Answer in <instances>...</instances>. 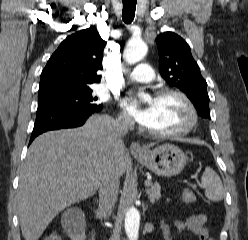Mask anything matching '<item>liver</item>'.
I'll list each match as a JSON object with an SVG mask.
<instances>
[{
	"label": "liver",
	"instance_id": "6515ba94",
	"mask_svg": "<svg viewBox=\"0 0 248 240\" xmlns=\"http://www.w3.org/2000/svg\"><path fill=\"white\" fill-rule=\"evenodd\" d=\"M114 120L94 115L76 129L38 136L21 166L17 204L25 240H38L66 207L98 189L107 161L113 158L122 176L129 160L124 143L114 149L108 132Z\"/></svg>",
	"mask_w": 248,
	"mask_h": 240
}]
</instances>
